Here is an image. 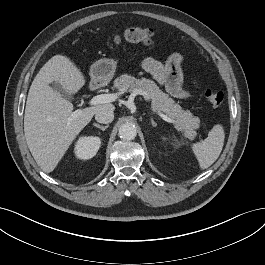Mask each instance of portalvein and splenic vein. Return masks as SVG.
<instances>
[{
  "label": "portal vein and splenic vein",
  "mask_w": 265,
  "mask_h": 265,
  "mask_svg": "<svg viewBox=\"0 0 265 265\" xmlns=\"http://www.w3.org/2000/svg\"><path fill=\"white\" fill-rule=\"evenodd\" d=\"M118 98L117 94H100L97 96H94L90 101L89 104L90 105H98V104H105V103H110L115 101ZM158 114L160 117H162L163 120L173 123L174 120L171 119L170 117H168L167 115L163 114L162 112L158 111Z\"/></svg>",
  "instance_id": "18ae733b"
}]
</instances>
